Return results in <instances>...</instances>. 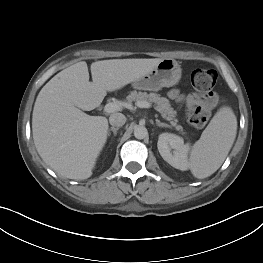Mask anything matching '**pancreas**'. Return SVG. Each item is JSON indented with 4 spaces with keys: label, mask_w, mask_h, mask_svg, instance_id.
<instances>
[{
    "label": "pancreas",
    "mask_w": 263,
    "mask_h": 263,
    "mask_svg": "<svg viewBox=\"0 0 263 263\" xmlns=\"http://www.w3.org/2000/svg\"><path fill=\"white\" fill-rule=\"evenodd\" d=\"M127 103L138 101H147L155 104V109L162 115L164 119L170 122L171 126L175 127L177 131L183 133V127L178 125V120L176 119V111L171 107L169 100L165 97H161L160 94L147 93V92H137L132 91L126 97Z\"/></svg>",
    "instance_id": "1"
}]
</instances>
